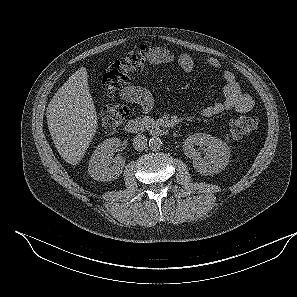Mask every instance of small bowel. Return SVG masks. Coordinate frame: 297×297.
Segmentation results:
<instances>
[{"label": "small bowel", "mask_w": 297, "mask_h": 297, "mask_svg": "<svg viewBox=\"0 0 297 297\" xmlns=\"http://www.w3.org/2000/svg\"><path fill=\"white\" fill-rule=\"evenodd\" d=\"M148 60L151 64H177L185 73H190L195 68V61L187 54L175 55L168 49L162 47H152L148 50ZM204 65L220 69L221 62L214 57H207L203 60ZM224 80L223 99L217 100L211 105L202 109L201 114L204 117H213L223 111L235 110L240 113H246L253 107L252 97L241 90L231 71L225 70L222 74ZM123 100L138 104L144 113L151 111L153 107V97L151 93L140 86L128 84L121 91Z\"/></svg>", "instance_id": "small-bowel-1"}]
</instances>
